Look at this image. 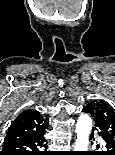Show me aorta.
I'll use <instances>...</instances> for the list:
<instances>
[{
	"instance_id": "obj_1",
	"label": "aorta",
	"mask_w": 115,
	"mask_h": 155,
	"mask_svg": "<svg viewBox=\"0 0 115 155\" xmlns=\"http://www.w3.org/2000/svg\"><path fill=\"white\" fill-rule=\"evenodd\" d=\"M92 129V120L87 114H82L76 124L77 139L75 151H87L89 144V134Z\"/></svg>"
}]
</instances>
